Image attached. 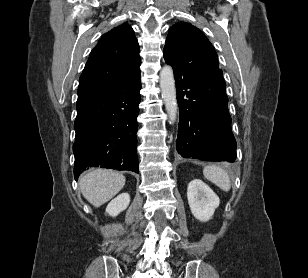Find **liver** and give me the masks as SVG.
Wrapping results in <instances>:
<instances>
[{"instance_id": "liver-1", "label": "liver", "mask_w": 308, "mask_h": 278, "mask_svg": "<svg viewBox=\"0 0 308 278\" xmlns=\"http://www.w3.org/2000/svg\"><path fill=\"white\" fill-rule=\"evenodd\" d=\"M125 177L111 169L88 171L79 179V186L85 199L94 207H100L112 199L125 185Z\"/></svg>"}]
</instances>
